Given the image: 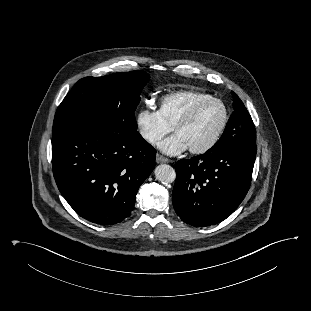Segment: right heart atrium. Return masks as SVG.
Returning <instances> with one entry per match:
<instances>
[{
    "instance_id": "d8ad5b80",
    "label": "right heart atrium",
    "mask_w": 311,
    "mask_h": 311,
    "mask_svg": "<svg viewBox=\"0 0 311 311\" xmlns=\"http://www.w3.org/2000/svg\"><path fill=\"white\" fill-rule=\"evenodd\" d=\"M136 126L141 138L150 145L157 144L166 134L172 131L162 118L159 110L148 103L136 116Z\"/></svg>"
}]
</instances>
